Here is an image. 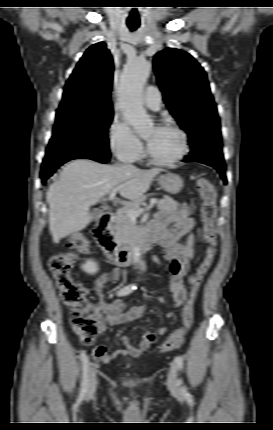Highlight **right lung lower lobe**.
<instances>
[{"instance_id":"obj_1","label":"right lung lower lobe","mask_w":273,"mask_h":430,"mask_svg":"<svg viewBox=\"0 0 273 430\" xmlns=\"http://www.w3.org/2000/svg\"><path fill=\"white\" fill-rule=\"evenodd\" d=\"M79 158H86V159H92L95 161H98L100 163H107L110 160V153H85V154H78L74 156H69L60 160H57L53 163H50L48 165L42 166L41 171V179L42 182L45 183L46 179L49 178L56 169L62 165L63 163L73 160V159H79Z\"/></svg>"}]
</instances>
